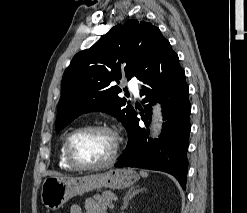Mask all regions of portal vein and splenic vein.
I'll list each match as a JSON object with an SVG mask.
<instances>
[{
	"instance_id": "1",
	"label": "portal vein and splenic vein",
	"mask_w": 247,
	"mask_h": 213,
	"mask_svg": "<svg viewBox=\"0 0 247 213\" xmlns=\"http://www.w3.org/2000/svg\"><path fill=\"white\" fill-rule=\"evenodd\" d=\"M109 208L113 209L114 208V204L110 203Z\"/></svg>"
}]
</instances>
